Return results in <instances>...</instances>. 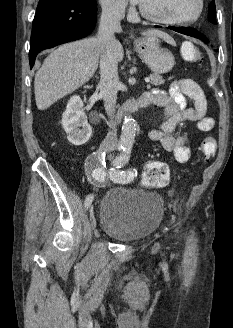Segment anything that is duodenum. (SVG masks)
Returning <instances> with one entry per match:
<instances>
[{
	"mask_svg": "<svg viewBox=\"0 0 233 328\" xmlns=\"http://www.w3.org/2000/svg\"><path fill=\"white\" fill-rule=\"evenodd\" d=\"M151 103V97L149 93H143L137 98H134L128 101L124 105V109L126 112H133L138 109H142L147 107Z\"/></svg>",
	"mask_w": 233,
	"mask_h": 328,
	"instance_id": "1",
	"label": "duodenum"
}]
</instances>
